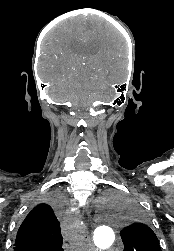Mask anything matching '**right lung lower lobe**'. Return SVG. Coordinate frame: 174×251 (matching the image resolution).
Masks as SVG:
<instances>
[{
  "label": "right lung lower lobe",
  "instance_id": "right-lung-lower-lobe-1",
  "mask_svg": "<svg viewBox=\"0 0 174 251\" xmlns=\"http://www.w3.org/2000/svg\"><path fill=\"white\" fill-rule=\"evenodd\" d=\"M15 250H16V251H30V250H34V249H31V248H28V247L21 246V247L16 248Z\"/></svg>",
  "mask_w": 174,
  "mask_h": 251
}]
</instances>
